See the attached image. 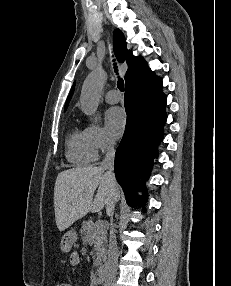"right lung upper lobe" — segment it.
I'll use <instances>...</instances> for the list:
<instances>
[{"instance_id": "obj_1", "label": "right lung upper lobe", "mask_w": 231, "mask_h": 286, "mask_svg": "<svg viewBox=\"0 0 231 286\" xmlns=\"http://www.w3.org/2000/svg\"><path fill=\"white\" fill-rule=\"evenodd\" d=\"M113 42H114V52L119 62L127 61L128 70L125 75V81L128 82L135 77L143 75L147 72H150V69L147 66V63L144 61L142 57H135L131 51L127 50L126 42L123 33L116 29L113 34ZM74 91V85L71 89L70 95L67 98L65 104V110L71 100L72 94Z\"/></svg>"}]
</instances>
